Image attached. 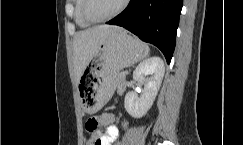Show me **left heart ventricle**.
Segmentation results:
<instances>
[{
	"label": "left heart ventricle",
	"mask_w": 243,
	"mask_h": 145,
	"mask_svg": "<svg viewBox=\"0 0 243 145\" xmlns=\"http://www.w3.org/2000/svg\"><path fill=\"white\" fill-rule=\"evenodd\" d=\"M123 0H90L89 13L92 18L101 19L115 12Z\"/></svg>",
	"instance_id": "left-heart-ventricle-1"
}]
</instances>
